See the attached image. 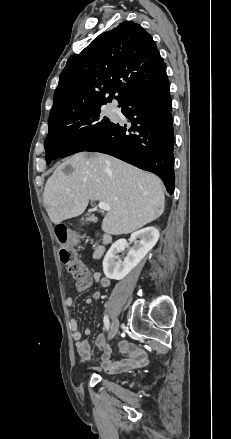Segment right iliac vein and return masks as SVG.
I'll return each instance as SVG.
<instances>
[{
	"label": "right iliac vein",
	"instance_id": "63e3f726",
	"mask_svg": "<svg viewBox=\"0 0 231 439\" xmlns=\"http://www.w3.org/2000/svg\"><path fill=\"white\" fill-rule=\"evenodd\" d=\"M119 329V320L118 318H115L110 326V333H109V338L112 339L118 332Z\"/></svg>",
	"mask_w": 231,
	"mask_h": 439
}]
</instances>
